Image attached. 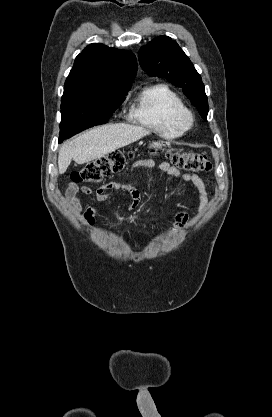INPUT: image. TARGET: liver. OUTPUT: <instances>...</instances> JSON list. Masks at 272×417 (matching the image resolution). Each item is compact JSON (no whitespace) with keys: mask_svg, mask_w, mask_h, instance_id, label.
<instances>
[{"mask_svg":"<svg viewBox=\"0 0 272 417\" xmlns=\"http://www.w3.org/2000/svg\"><path fill=\"white\" fill-rule=\"evenodd\" d=\"M149 134L143 127L124 123L93 128L62 145L58 156L59 173L66 172L72 159L77 164L88 163Z\"/></svg>","mask_w":272,"mask_h":417,"instance_id":"6515ba94","label":"liver"}]
</instances>
